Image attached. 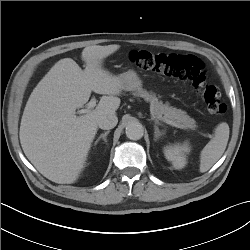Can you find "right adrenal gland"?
<instances>
[{
  "instance_id": "obj_1",
  "label": "right adrenal gland",
  "mask_w": 250,
  "mask_h": 250,
  "mask_svg": "<svg viewBox=\"0 0 250 250\" xmlns=\"http://www.w3.org/2000/svg\"><path fill=\"white\" fill-rule=\"evenodd\" d=\"M109 133H110V131H106L105 133L101 134V135L98 137V139L95 141V145H96L101 139H103L104 142H107L106 137H107V135H108Z\"/></svg>"
}]
</instances>
